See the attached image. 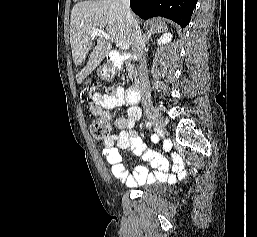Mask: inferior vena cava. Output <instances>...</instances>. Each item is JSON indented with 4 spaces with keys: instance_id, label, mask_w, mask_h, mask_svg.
Segmentation results:
<instances>
[{
    "instance_id": "1",
    "label": "inferior vena cava",
    "mask_w": 257,
    "mask_h": 237,
    "mask_svg": "<svg viewBox=\"0 0 257 237\" xmlns=\"http://www.w3.org/2000/svg\"><path fill=\"white\" fill-rule=\"evenodd\" d=\"M124 14V19L130 27L132 33V48L133 51L137 54L139 59V81H140V90L142 102L147 103L150 101L151 95L148 88V79H147V65L145 59V43L144 38L137 20L133 16L130 9V0H119Z\"/></svg>"
}]
</instances>
